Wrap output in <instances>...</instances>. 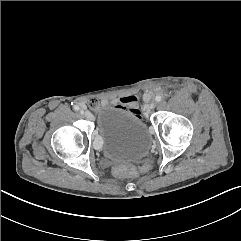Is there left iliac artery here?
<instances>
[{"mask_svg": "<svg viewBox=\"0 0 241 241\" xmlns=\"http://www.w3.org/2000/svg\"><path fill=\"white\" fill-rule=\"evenodd\" d=\"M155 100H156L157 102H159V101L162 100V97H161L160 95H157V96L155 97Z\"/></svg>", "mask_w": 241, "mask_h": 241, "instance_id": "left-iliac-artery-1", "label": "left iliac artery"}]
</instances>
